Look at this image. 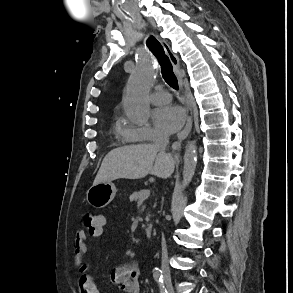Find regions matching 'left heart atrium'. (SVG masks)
Instances as JSON below:
<instances>
[{
    "mask_svg": "<svg viewBox=\"0 0 293 293\" xmlns=\"http://www.w3.org/2000/svg\"><path fill=\"white\" fill-rule=\"evenodd\" d=\"M156 127L164 133L177 131L185 120L184 110L178 105H166L153 112Z\"/></svg>",
    "mask_w": 293,
    "mask_h": 293,
    "instance_id": "39dd6f15",
    "label": "left heart atrium"
}]
</instances>
